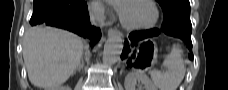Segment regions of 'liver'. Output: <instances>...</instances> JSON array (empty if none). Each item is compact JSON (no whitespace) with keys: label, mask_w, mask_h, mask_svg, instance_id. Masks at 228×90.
<instances>
[{"label":"liver","mask_w":228,"mask_h":90,"mask_svg":"<svg viewBox=\"0 0 228 90\" xmlns=\"http://www.w3.org/2000/svg\"><path fill=\"white\" fill-rule=\"evenodd\" d=\"M83 48V40L70 32L50 27L28 29L23 58L30 82L47 90L59 87L78 67Z\"/></svg>","instance_id":"6515ba94"}]
</instances>
